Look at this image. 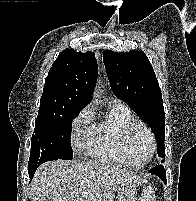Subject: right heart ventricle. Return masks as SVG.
Listing matches in <instances>:
<instances>
[{"instance_id":"right-heart-ventricle-1","label":"right heart ventricle","mask_w":196,"mask_h":201,"mask_svg":"<svg viewBox=\"0 0 196 201\" xmlns=\"http://www.w3.org/2000/svg\"><path fill=\"white\" fill-rule=\"evenodd\" d=\"M133 120L134 116L127 106H112L103 120L93 124L91 139L87 146L89 155L98 161L120 166L129 165L121 139L124 127Z\"/></svg>"}]
</instances>
